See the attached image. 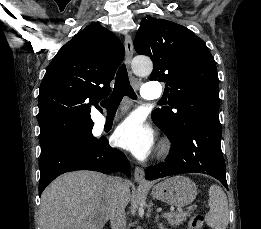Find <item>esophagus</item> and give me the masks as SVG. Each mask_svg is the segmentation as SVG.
Here are the masks:
<instances>
[{
	"instance_id": "1",
	"label": "esophagus",
	"mask_w": 261,
	"mask_h": 229,
	"mask_svg": "<svg viewBox=\"0 0 261 229\" xmlns=\"http://www.w3.org/2000/svg\"><path fill=\"white\" fill-rule=\"evenodd\" d=\"M124 45H125V52H126L125 63L129 68L133 58V42L130 35H125ZM134 177L140 186L150 185V183L145 179V173L142 167H135Z\"/></svg>"
}]
</instances>
